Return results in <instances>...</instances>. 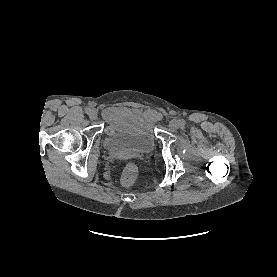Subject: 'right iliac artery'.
Listing matches in <instances>:
<instances>
[{"label":"right iliac artery","mask_w":277,"mask_h":277,"mask_svg":"<svg viewBox=\"0 0 277 277\" xmlns=\"http://www.w3.org/2000/svg\"><path fill=\"white\" fill-rule=\"evenodd\" d=\"M91 111H92V110H91V108H89V107L85 109V112H86L87 114H90Z\"/></svg>","instance_id":"1"}]
</instances>
